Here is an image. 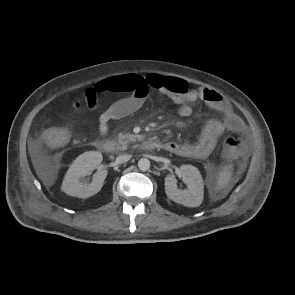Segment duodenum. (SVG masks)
Masks as SVG:
<instances>
[{"label": "duodenum", "mask_w": 295, "mask_h": 295, "mask_svg": "<svg viewBox=\"0 0 295 295\" xmlns=\"http://www.w3.org/2000/svg\"><path fill=\"white\" fill-rule=\"evenodd\" d=\"M142 146L146 150H155L162 148L163 144L154 139H146L143 141ZM96 147L99 151L109 154L115 150V143L108 140H98L96 142Z\"/></svg>", "instance_id": "duodenum-1"}]
</instances>
